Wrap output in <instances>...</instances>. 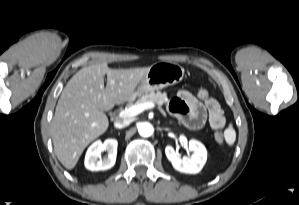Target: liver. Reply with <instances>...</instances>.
<instances>
[{
  "label": "liver",
  "instance_id": "1",
  "mask_svg": "<svg viewBox=\"0 0 299 205\" xmlns=\"http://www.w3.org/2000/svg\"><path fill=\"white\" fill-rule=\"evenodd\" d=\"M149 68L110 69L106 63H95L68 81L51 127L55 154L66 169H73L88 144L108 129L103 111L130 100Z\"/></svg>",
  "mask_w": 299,
  "mask_h": 205
}]
</instances>
